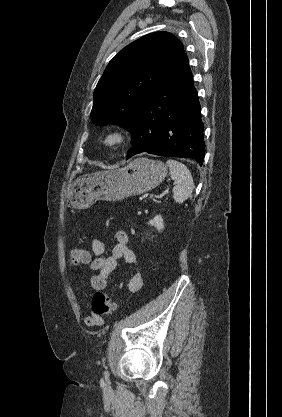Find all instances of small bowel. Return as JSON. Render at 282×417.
Listing matches in <instances>:
<instances>
[{"label": "small bowel", "instance_id": "obj_1", "mask_svg": "<svg viewBox=\"0 0 282 417\" xmlns=\"http://www.w3.org/2000/svg\"><path fill=\"white\" fill-rule=\"evenodd\" d=\"M115 239L117 244L108 255L104 254V243L97 238L92 239L91 246L95 257L90 259L87 253L89 268L95 272L90 279L91 288L95 291L104 290L107 286L109 276L117 267L119 259L123 258L128 264L134 266V273L128 282V290L131 293H135L143 286V274L139 260L135 252L129 247V236L125 230H116ZM84 322L87 326L99 327L103 325L104 318L91 313L84 317Z\"/></svg>", "mask_w": 282, "mask_h": 417}]
</instances>
